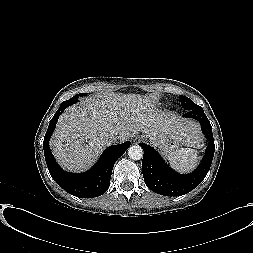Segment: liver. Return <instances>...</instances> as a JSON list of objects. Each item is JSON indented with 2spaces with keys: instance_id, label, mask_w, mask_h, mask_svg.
Listing matches in <instances>:
<instances>
[{
  "instance_id": "liver-1",
  "label": "liver",
  "mask_w": 253,
  "mask_h": 253,
  "mask_svg": "<svg viewBox=\"0 0 253 253\" xmlns=\"http://www.w3.org/2000/svg\"><path fill=\"white\" fill-rule=\"evenodd\" d=\"M154 99L139 94L104 93L82 99L59 118L50 147L65 169L87 170L111 144L110 135L120 133L124 140L131 132H142L158 145L167 137L183 145L199 146V124L170 113L155 110Z\"/></svg>"
}]
</instances>
